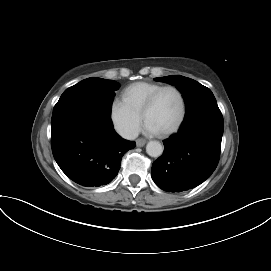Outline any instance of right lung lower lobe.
<instances>
[{"mask_svg":"<svg viewBox=\"0 0 271 271\" xmlns=\"http://www.w3.org/2000/svg\"><path fill=\"white\" fill-rule=\"evenodd\" d=\"M51 147L61 170L86 187L110 183L118 174L122 156L135 142L118 136L110 111L94 107L51 120Z\"/></svg>","mask_w":271,"mask_h":271,"instance_id":"right-lung-lower-lobe-1","label":"right lung lower lobe"}]
</instances>
